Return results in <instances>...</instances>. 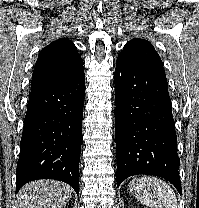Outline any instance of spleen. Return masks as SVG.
Here are the masks:
<instances>
[{"instance_id":"3e777b00","label":"spleen","mask_w":199,"mask_h":208,"mask_svg":"<svg viewBox=\"0 0 199 208\" xmlns=\"http://www.w3.org/2000/svg\"><path fill=\"white\" fill-rule=\"evenodd\" d=\"M129 190L142 204L150 208H178L172 188L156 177H141L129 184Z\"/></svg>"}]
</instances>
